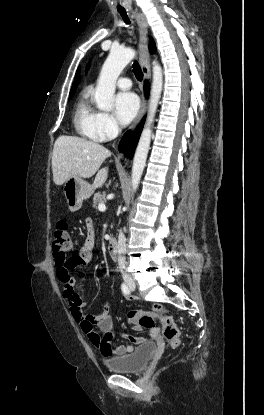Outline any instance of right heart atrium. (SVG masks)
I'll return each instance as SVG.
<instances>
[{"mask_svg": "<svg viewBox=\"0 0 264 415\" xmlns=\"http://www.w3.org/2000/svg\"><path fill=\"white\" fill-rule=\"evenodd\" d=\"M99 125L105 139L115 136L120 130L114 117L108 113H100Z\"/></svg>", "mask_w": 264, "mask_h": 415, "instance_id": "right-heart-atrium-1", "label": "right heart atrium"}]
</instances>
